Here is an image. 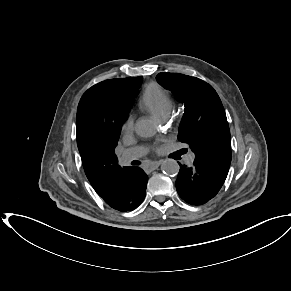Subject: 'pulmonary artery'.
<instances>
[{
    "label": "pulmonary artery",
    "instance_id": "1",
    "mask_svg": "<svg viewBox=\"0 0 291 291\" xmlns=\"http://www.w3.org/2000/svg\"><path fill=\"white\" fill-rule=\"evenodd\" d=\"M167 117L162 118L161 120L164 121L166 120ZM145 154V149L142 147H134V148H130L126 151H124L121 155H120V161L123 164H127L132 160L138 159L141 156H143ZM195 155L193 153H190L186 159L187 164L191 165L194 161Z\"/></svg>",
    "mask_w": 291,
    "mask_h": 291
}]
</instances>
